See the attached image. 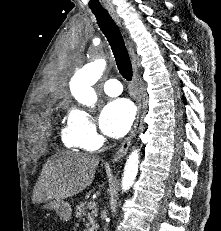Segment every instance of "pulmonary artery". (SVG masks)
I'll return each instance as SVG.
<instances>
[{
	"instance_id": "pulmonary-artery-1",
	"label": "pulmonary artery",
	"mask_w": 221,
	"mask_h": 231,
	"mask_svg": "<svg viewBox=\"0 0 221 231\" xmlns=\"http://www.w3.org/2000/svg\"><path fill=\"white\" fill-rule=\"evenodd\" d=\"M104 92L111 97L118 96L122 93V85L116 79L107 80L103 85Z\"/></svg>"
}]
</instances>
